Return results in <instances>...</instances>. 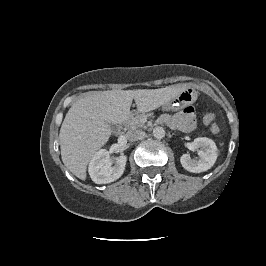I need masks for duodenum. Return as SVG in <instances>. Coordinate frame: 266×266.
Instances as JSON below:
<instances>
[{
	"mask_svg": "<svg viewBox=\"0 0 266 266\" xmlns=\"http://www.w3.org/2000/svg\"><path fill=\"white\" fill-rule=\"evenodd\" d=\"M116 131H117L118 134H122V133H123V131H124V125H123V123H120V124L117 126Z\"/></svg>",
	"mask_w": 266,
	"mask_h": 266,
	"instance_id": "410a0bca",
	"label": "duodenum"
}]
</instances>
